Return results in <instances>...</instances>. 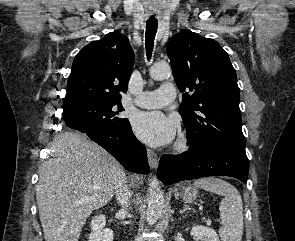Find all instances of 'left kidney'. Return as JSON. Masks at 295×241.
<instances>
[{
    "instance_id": "5707ae66",
    "label": "left kidney",
    "mask_w": 295,
    "mask_h": 241,
    "mask_svg": "<svg viewBox=\"0 0 295 241\" xmlns=\"http://www.w3.org/2000/svg\"><path fill=\"white\" fill-rule=\"evenodd\" d=\"M191 235L201 241H219L215 230L205 226H193Z\"/></svg>"
}]
</instances>
